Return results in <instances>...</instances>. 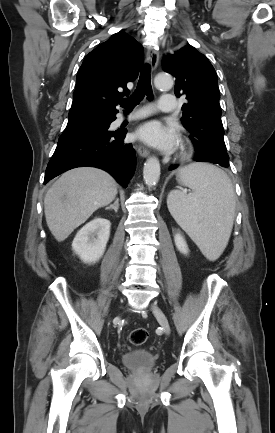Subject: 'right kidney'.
I'll return each instance as SVG.
<instances>
[{
  "mask_svg": "<svg viewBox=\"0 0 275 433\" xmlns=\"http://www.w3.org/2000/svg\"><path fill=\"white\" fill-rule=\"evenodd\" d=\"M110 227L109 220L97 217L77 232L72 249L84 263H95L103 256L110 236Z\"/></svg>",
  "mask_w": 275,
  "mask_h": 433,
  "instance_id": "right-kidney-1",
  "label": "right kidney"
}]
</instances>
